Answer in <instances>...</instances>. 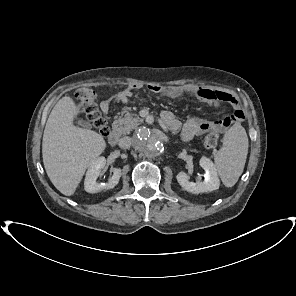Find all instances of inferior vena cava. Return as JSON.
I'll return each mask as SVG.
<instances>
[{"instance_id":"obj_1","label":"inferior vena cava","mask_w":296,"mask_h":296,"mask_svg":"<svg viewBox=\"0 0 296 296\" xmlns=\"http://www.w3.org/2000/svg\"><path fill=\"white\" fill-rule=\"evenodd\" d=\"M132 142L133 140L131 137L125 136L119 140V146L123 149H128L131 147Z\"/></svg>"}]
</instances>
